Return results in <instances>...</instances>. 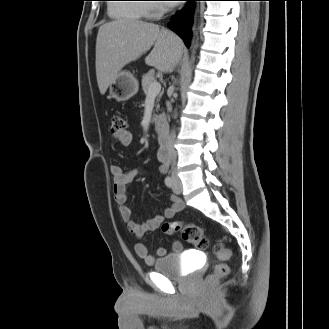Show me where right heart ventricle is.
Segmentation results:
<instances>
[{"label": "right heart ventricle", "instance_id": "right-heart-ventricle-1", "mask_svg": "<svg viewBox=\"0 0 329 329\" xmlns=\"http://www.w3.org/2000/svg\"><path fill=\"white\" fill-rule=\"evenodd\" d=\"M146 0H112L109 14L117 19L141 21L149 15V4Z\"/></svg>", "mask_w": 329, "mask_h": 329}]
</instances>
